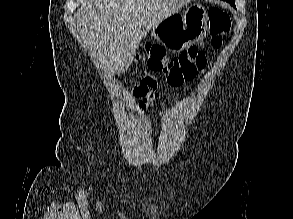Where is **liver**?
Masks as SVG:
<instances>
[{
	"mask_svg": "<svg viewBox=\"0 0 293 219\" xmlns=\"http://www.w3.org/2000/svg\"><path fill=\"white\" fill-rule=\"evenodd\" d=\"M194 0H78V35L94 58L113 71L133 62L146 30Z\"/></svg>",
	"mask_w": 293,
	"mask_h": 219,
	"instance_id": "obj_1",
	"label": "liver"
}]
</instances>
